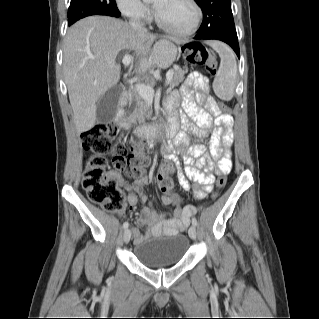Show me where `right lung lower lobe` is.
Returning <instances> with one entry per match:
<instances>
[{
	"instance_id": "98d812e1",
	"label": "right lung lower lobe",
	"mask_w": 319,
	"mask_h": 319,
	"mask_svg": "<svg viewBox=\"0 0 319 319\" xmlns=\"http://www.w3.org/2000/svg\"><path fill=\"white\" fill-rule=\"evenodd\" d=\"M121 14L119 13V14H116V15H114L113 17H119Z\"/></svg>"
}]
</instances>
